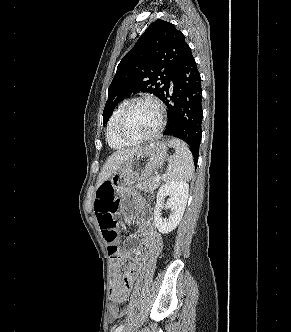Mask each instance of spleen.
Masks as SVG:
<instances>
[{
	"label": "spleen",
	"mask_w": 291,
	"mask_h": 332,
	"mask_svg": "<svg viewBox=\"0 0 291 332\" xmlns=\"http://www.w3.org/2000/svg\"><path fill=\"white\" fill-rule=\"evenodd\" d=\"M175 149V154L168 159V168L162 176L165 182L189 181L194 174V161L187 144L178 138L168 142Z\"/></svg>",
	"instance_id": "spleen-1"
}]
</instances>
